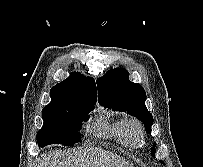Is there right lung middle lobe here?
Here are the masks:
<instances>
[{"instance_id": "1", "label": "right lung middle lobe", "mask_w": 203, "mask_h": 167, "mask_svg": "<svg viewBox=\"0 0 203 167\" xmlns=\"http://www.w3.org/2000/svg\"><path fill=\"white\" fill-rule=\"evenodd\" d=\"M96 101H79L66 106L42 110L43 126L37 133L40 147L50 144L72 146L81 140L78 133L82 121L89 119V112L94 109Z\"/></svg>"}]
</instances>
